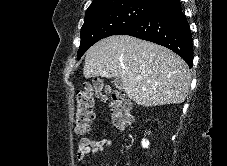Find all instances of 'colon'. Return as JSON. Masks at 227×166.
Instances as JSON below:
<instances>
[{"label":"colon","instance_id":"colon-1","mask_svg":"<svg viewBox=\"0 0 227 166\" xmlns=\"http://www.w3.org/2000/svg\"><path fill=\"white\" fill-rule=\"evenodd\" d=\"M108 102L111 109L112 122L117 129L123 130L131 124L132 103L122 93L112 90L101 80L96 79L84 85L76 94V110L74 130L77 135L88 133L93 120V98Z\"/></svg>","mask_w":227,"mask_h":166}]
</instances>
